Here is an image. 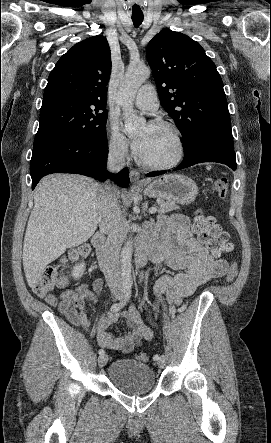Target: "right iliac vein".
I'll return each instance as SVG.
<instances>
[{"label": "right iliac vein", "instance_id": "1", "mask_svg": "<svg viewBox=\"0 0 271 443\" xmlns=\"http://www.w3.org/2000/svg\"><path fill=\"white\" fill-rule=\"evenodd\" d=\"M116 298L120 299V296L117 295ZM107 361H108V356L106 354L100 355L99 358H98V365H99V367L105 366Z\"/></svg>", "mask_w": 271, "mask_h": 443}]
</instances>
